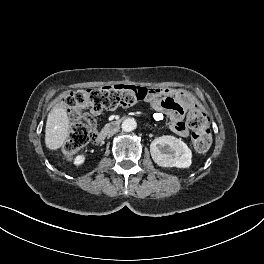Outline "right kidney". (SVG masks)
<instances>
[{
    "instance_id": "1",
    "label": "right kidney",
    "mask_w": 264,
    "mask_h": 264,
    "mask_svg": "<svg viewBox=\"0 0 264 264\" xmlns=\"http://www.w3.org/2000/svg\"><path fill=\"white\" fill-rule=\"evenodd\" d=\"M85 162V155H77L74 159V165L80 166Z\"/></svg>"
}]
</instances>
